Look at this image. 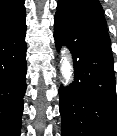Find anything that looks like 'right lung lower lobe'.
Wrapping results in <instances>:
<instances>
[{
  "mask_svg": "<svg viewBox=\"0 0 117 136\" xmlns=\"http://www.w3.org/2000/svg\"><path fill=\"white\" fill-rule=\"evenodd\" d=\"M26 24L0 36V136H20L26 91Z\"/></svg>",
  "mask_w": 117,
  "mask_h": 136,
  "instance_id": "right-lung-lower-lobe-1",
  "label": "right lung lower lobe"
}]
</instances>
